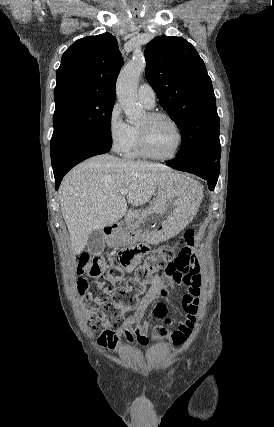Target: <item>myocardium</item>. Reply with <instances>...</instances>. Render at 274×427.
I'll use <instances>...</instances> for the list:
<instances>
[{"label":"myocardium","mask_w":274,"mask_h":427,"mask_svg":"<svg viewBox=\"0 0 274 427\" xmlns=\"http://www.w3.org/2000/svg\"><path fill=\"white\" fill-rule=\"evenodd\" d=\"M147 120L149 122L158 120V119H164L167 120L174 128L176 135H177V144H176V148L173 151L172 154L168 155V156H157L153 153H151L148 148H147V144H146V135H145V131L143 128L137 126L136 127V138H137V145H138V149L140 154L147 159L150 160H155V161H169L172 160L174 158H176L183 146V133L181 131V128L179 126V124L177 123V121L170 116L167 113L164 112H148L146 114Z\"/></svg>","instance_id":"myocardium-1"}]
</instances>
